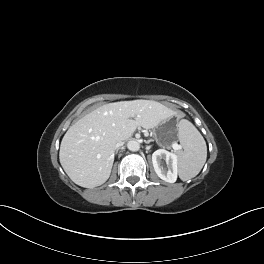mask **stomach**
<instances>
[{"instance_id": "1", "label": "stomach", "mask_w": 264, "mask_h": 264, "mask_svg": "<svg viewBox=\"0 0 264 264\" xmlns=\"http://www.w3.org/2000/svg\"><path fill=\"white\" fill-rule=\"evenodd\" d=\"M180 118L178 115L173 114L165 123L160 124L154 131V137L156 142L161 146H168L173 143L178 137V131L176 129Z\"/></svg>"}]
</instances>
